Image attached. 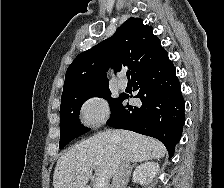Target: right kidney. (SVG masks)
I'll return each instance as SVG.
<instances>
[{
	"mask_svg": "<svg viewBox=\"0 0 224 188\" xmlns=\"http://www.w3.org/2000/svg\"><path fill=\"white\" fill-rule=\"evenodd\" d=\"M159 168V164L156 162H146L139 165L133 173V182L141 185L151 183L159 172Z\"/></svg>",
	"mask_w": 224,
	"mask_h": 188,
	"instance_id": "obj_1",
	"label": "right kidney"
}]
</instances>
